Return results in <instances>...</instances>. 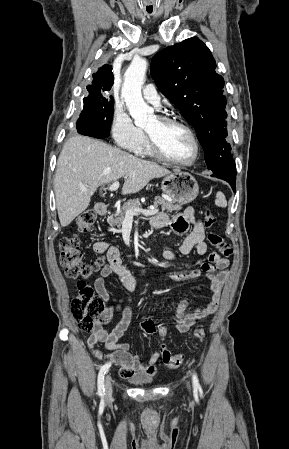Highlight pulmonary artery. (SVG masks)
<instances>
[{
    "mask_svg": "<svg viewBox=\"0 0 289 449\" xmlns=\"http://www.w3.org/2000/svg\"><path fill=\"white\" fill-rule=\"evenodd\" d=\"M143 97L144 99L154 105L156 108H160L161 106V98L159 94L157 93L155 86L153 84H147L144 86L143 90Z\"/></svg>",
    "mask_w": 289,
    "mask_h": 449,
    "instance_id": "pulmonary-artery-1",
    "label": "pulmonary artery"
}]
</instances>
